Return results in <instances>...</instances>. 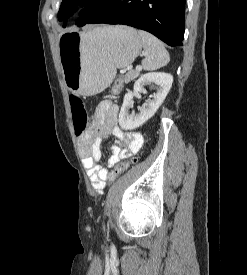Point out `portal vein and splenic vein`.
<instances>
[{"label": "portal vein and splenic vein", "mask_w": 247, "mask_h": 275, "mask_svg": "<svg viewBox=\"0 0 247 275\" xmlns=\"http://www.w3.org/2000/svg\"><path fill=\"white\" fill-rule=\"evenodd\" d=\"M136 70H137V71H141V70H142V67H141V66H137V67H136Z\"/></svg>", "instance_id": "obj_1"}]
</instances>
